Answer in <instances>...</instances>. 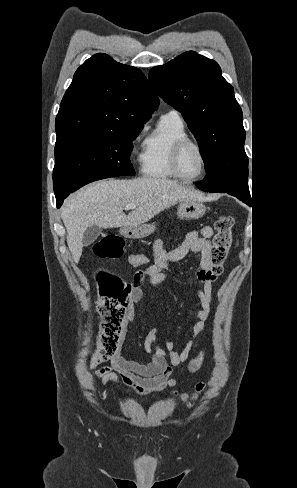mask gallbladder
<instances>
[{"instance_id":"1","label":"gallbladder","mask_w":297,"mask_h":488,"mask_svg":"<svg viewBox=\"0 0 297 488\" xmlns=\"http://www.w3.org/2000/svg\"><path fill=\"white\" fill-rule=\"evenodd\" d=\"M102 230L99 226L93 225L88 227L83 235V245L88 246L94 243L99 235L101 234Z\"/></svg>"}]
</instances>
